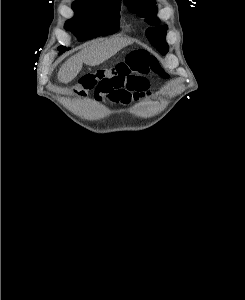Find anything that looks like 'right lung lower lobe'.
<instances>
[{
    "label": "right lung lower lobe",
    "instance_id": "right-lung-lower-lobe-1",
    "mask_svg": "<svg viewBox=\"0 0 245 300\" xmlns=\"http://www.w3.org/2000/svg\"><path fill=\"white\" fill-rule=\"evenodd\" d=\"M80 26L82 28L86 29L88 32H92L93 33V34L89 35L88 37L94 38L93 36L97 35V34H94V32L97 31V28H98V24L96 22L84 21V22L80 23Z\"/></svg>",
    "mask_w": 245,
    "mask_h": 300
}]
</instances>
